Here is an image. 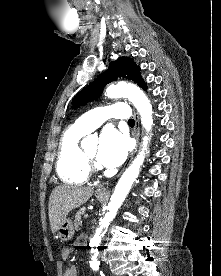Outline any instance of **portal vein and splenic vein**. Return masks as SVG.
<instances>
[{
    "instance_id": "portal-vein-and-splenic-vein-1",
    "label": "portal vein and splenic vein",
    "mask_w": 221,
    "mask_h": 276,
    "mask_svg": "<svg viewBox=\"0 0 221 276\" xmlns=\"http://www.w3.org/2000/svg\"><path fill=\"white\" fill-rule=\"evenodd\" d=\"M88 216H89V215L86 213V214L84 215V218L86 219V218H88Z\"/></svg>"
}]
</instances>
